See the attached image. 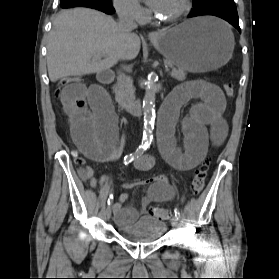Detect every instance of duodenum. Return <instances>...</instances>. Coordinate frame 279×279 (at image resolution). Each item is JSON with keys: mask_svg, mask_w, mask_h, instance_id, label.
Returning <instances> with one entry per match:
<instances>
[{"mask_svg": "<svg viewBox=\"0 0 279 279\" xmlns=\"http://www.w3.org/2000/svg\"><path fill=\"white\" fill-rule=\"evenodd\" d=\"M96 76L103 83L110 82L113 79V74L109 71L100 72ZM120 105L125 111L134 116H141L144 113L142 101L140 99H134L131 101H121Z\"/></svg>", "mask_w": 279, "mask_h": 279, "instance_id": "obj_1", "label": "duodenum"}]
</instances>
